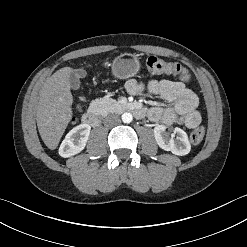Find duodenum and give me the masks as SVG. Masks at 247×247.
I'll use <instances>...</instances> for the list:
<instances>
[{"label":"duodenum","instance_id":"duodenum-1","mask_svg":"<svg viewBox=\"0 0 247 247\" xmlns=\"http://www.w3.org/2000/svg\"><path fill=\"white\" fill-rule=\"evenodd\" d=\"M129 109L137 118H142L145 115V110L139 105L132 104ZM82 121L84 124L97 127L100 124V117L96 110L91 109L83 115Z\"/></svg>","mask_w":247,"mask_h":247}]
</instances>
